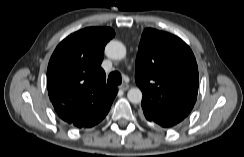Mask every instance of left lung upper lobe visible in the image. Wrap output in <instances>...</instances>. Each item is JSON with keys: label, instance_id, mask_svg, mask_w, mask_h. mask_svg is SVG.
Here are the masks:
<instances>
[{"label": "left lung upper lobe", "instance_id": "obj_1", "mask_svg": "<svg viewBox=\"0 0 244 157\" xmlns=\"http://www.w3.org/2000/svg\"><path fill=\"white\" fill-rule=\"evenodd\" d=\"M135 80L142 110L161 127H173L191 112L198 93V67L190 47L170 33L147 28L136 58Z\"/></svg>", "mask_w": 244, "mask_h": 157}]
</instances>
